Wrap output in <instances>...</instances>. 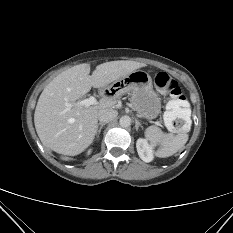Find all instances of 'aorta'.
Here are the masks:
<instances>
[{"label":"aorta","instance_id":"762f6f07","mask_svg":"<svg viewBox=\"0 0 233 233\" xmlns=\"http://www.w3.org/2000/svg\"><path fill=\"white\" fill-rule=\"evenodd\" d=\"M119 124L123 128L129 127L131 125V118L127 115L122 116L119 120Z\"/></svg>","mask_w":233,"mask_h":233}]
</instances>
